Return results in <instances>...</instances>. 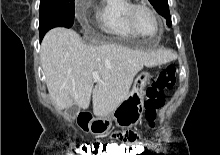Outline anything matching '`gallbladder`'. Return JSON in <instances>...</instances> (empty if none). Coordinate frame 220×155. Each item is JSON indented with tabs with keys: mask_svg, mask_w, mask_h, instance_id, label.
<instances>
[{
	"mask_svg": "<svg viewBox=\"0 0 220 155\" xmlns=\"http://www.w3.org/2000/svg\"><path fill=\"white\" fill-rule=\"evenodd\" d=\"M79 113V107L78 106H72L69 111L68 114L71 118H75L77 116V114Z\"/></svg>",
	"mask_w": 220,
	"mask_h": 155,
	"instance_id": "bac80fb5",
	"label": "gallbladder"
}]
</instances>
